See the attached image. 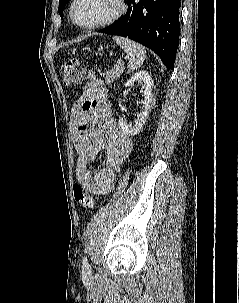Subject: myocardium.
Listing matches in <instances>:
<instances>
[{
	"label": "myocardium",
	"instance_id": "1",
	"mask_svg": "<svg viewBox=\"0 0 239 303\" xmlns=\"http://www.w3.org/2000/svg\"><path fill=\"white\" fill-rule=\"evenodd\" d=\"M79 0H73L71 7H70V17L72 22L82 28V29H86V30H90V29H96V28H101V27H105L108 25H111L113 23H115L116 21H118L127 11V2L126 0H117V4H118V9L117 11L111 15L110 17L91 23V24H81L77 21L76 19V15H75V9H76V5L78 4Z\"/></svg>",
	"mask_w": 239,
	"mask_h": 303
}]
</instances>
